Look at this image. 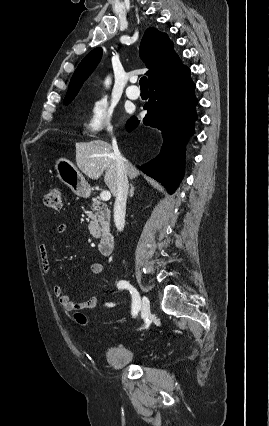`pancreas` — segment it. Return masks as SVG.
Segmentation results:
<instances>
[{"mask_svg":"<svg viewBox=\"0 0 269 426\" xmlns=\"http://www.w3.org/2000/svg\"><path fill=\"white\" fill-rule=\"evenodd\" d=\"M91 211L88 212L91 221L89 223V231L93 237L98 238L101 233V226H109L110 210L107 205L100 201L99 198H94L91 204Z\"/></svg>","mask_w":269,"mask_h":426,"instance_id":"cf45deb5","label":"pancreas"}]
</instances>
